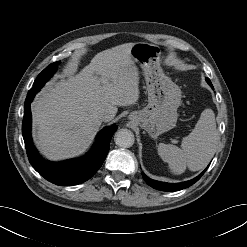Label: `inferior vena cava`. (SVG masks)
I'll list each match as a JSON object with an SVG mask.
<instances>
[{
	"mask_svg": "<svg viewBox=\"0 0 247 247\" xmlns=\"http://www.w3.org/2000/svg\"><path fill=\"white\" fill-rule=\"evenodd\" d=\"M99 118L101 121H109V120H111L112 115L107 113V112H103L99 115Z\"/></svg>",
	"mask_w": 247,
	"mask_h": 247,
	"instance_id": "1",
	"label": "inferior vena cava"
}]
</instances>
